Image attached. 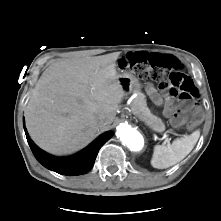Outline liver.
Segmentation results:
<instances>
[{"label":"liver","instance_id":"1","mask_svg":"<svg viewBox=\"0 0 221 221\" xmlns=\"http://www.w3.org/2000/svg\"><path fill=\"white\" fill-rule=\"evenodd\" d=\"M118 56L60 61L42 73L25 110L27 130L40 148L58 155L76 151L113 122L125 95ZM100 115L103 124L97 121Z\"/></svg>","mask_w":221,"mask_h":221}]
</instances>
